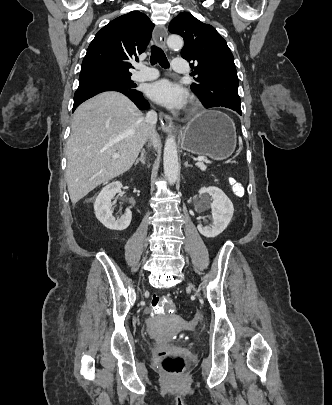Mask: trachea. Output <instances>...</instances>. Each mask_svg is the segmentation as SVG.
Listing matches in <instances>:
<instances>
[{
    "mask_svg": "<svg viewBox=\"0 0 332 405\" xmlns=\"http://www.w3.org/2000/svg\"><path fill=\"white\" fill-rule=\"evenodd\" d=\"M150 63L152 65L159 63L161 67L165 69L169 68V62L165 56V53L161 48L155 45L151 47Z\"/></svg>",
    "mask_w": 332,
    "mask_h": 405,
    "instance_id": "trachea-1",
    "label": "trachea"
}]
</instances>
